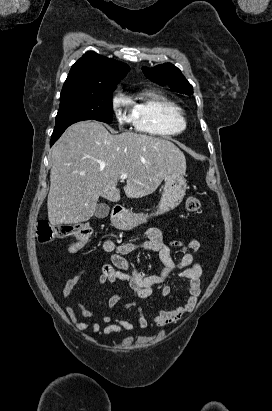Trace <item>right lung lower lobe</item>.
Masks as SVG:
<instances>
[{
	"label": "right lung lower lobe",
	"mask_w": 272,
	"mask_h": 411,
	"mask_svg": "<svg viewBox=\"0 0 272 411\" xmlns=\"http://www.w3.org/2000/svg\"><path fill=\"white\" fill-rule=\"evenodd\" d=\"M59 137H60V136H59ZM59 137H57V138H51V140H50V146H52V145L58 140Z\"/></svg>",
	"instance_id": "right-lung-lower-lobe-1"
}]
</instances>
